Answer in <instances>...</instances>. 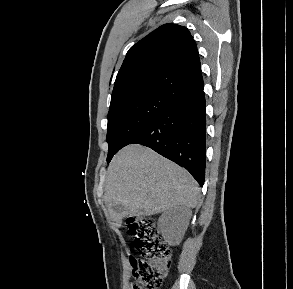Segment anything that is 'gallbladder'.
Returning <instances> with one entry per match:
<instances>
[{"instance_id":"gallbladder-1","label":"gallbladder","mask_w":293,"mask_h":289,"mask_svg":"<svg viewBox=\"0 0 293 289\" xmlns=\"http://www.w3.org/2000/svg\"><path fill=\"white\" fill-rule=\"evenodd\" d=\"M113 209L115 212L120 213V214L123 213V211H124V207L122 205H115L113 207Z\"/></svg>"}]
</instances>
